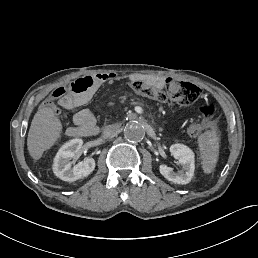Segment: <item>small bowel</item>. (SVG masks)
<instances>
[{
	"mask_svg": "<svg viewBox=\"0 0 258 258\" xmlns=\"http://www.w3.org/2000/svg\"><path fill=\"white\" fill-rule=\"evenodd\" d=\"M71 86L69 93L59 100V105L65 113L76 111L89 102L100 84L94 82L90 76H85L74 80ZM73 123L87 135H93L97 131L96 118L89 109L76 111Z\"/></svg>",
	"mask_w": 258,
	"mask_h": 258,
	"instance_id": "obj_1",
	"label": "small bowel"
}]
</instances>
